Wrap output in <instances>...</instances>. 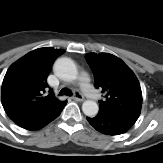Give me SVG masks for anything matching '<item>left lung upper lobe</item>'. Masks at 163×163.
I'll list each match as a JSON object with an SVG mask.
<instances>
[{"label": "left lung upper lobe", "instance_id": "obj_1", "mask_svg": "<svg viewBox=\"0 0 163 163\" xmlns=\"http://www.w3.org/2000/svg\"><path fill=\"white\" fill-rule=\"evenodd\" d=\"M86 60L94 72L95 87L104 94L99 113L137 119L142 106L140 84L131 69L109 53H90Z\"/></svg>", "mask_w": 163, "mask_h": 163}]
</instances>
